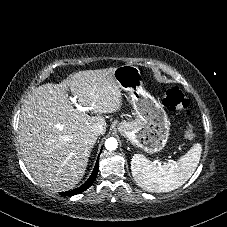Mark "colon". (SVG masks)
I'll use <instances>...</instances> for the list:
<instances>
[{"label": "colon", "mask_w": 227, "mask_h": 227, "mask_svg": "<svg viewBox=\"0 0 227 227\" xmlns=\"http://www.w3.org/2000/svg\"><path fill=\"white\" fill-rule=\"evenodd\" d=\"M165 107L169 111L184 110L190 113V102L185 95L176 87L166 90L163 98ZM194 137V129L189 126L185 131V138L192 139Z\"/></svg>", "instance_id": "obj_1"}]
</instances>
